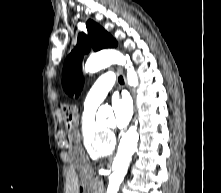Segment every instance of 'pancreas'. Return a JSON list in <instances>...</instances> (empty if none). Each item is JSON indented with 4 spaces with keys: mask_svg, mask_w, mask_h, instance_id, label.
Segmentation results:
<instances>
[{
    "mask_svg": "<svg viewBox=\"0 0 221 193\" xmlns=\"http://www.w3.org/2000/svg\"><path fill=\"white\" fill-rule=\"evenodd\" d=\"M93 192L94 193H101L102 192V187H101V182L98 178H96L94 180V183H93Z\"/></svg>",
    "mask_w": 221,
    "mask_h": 193,
    "instance_id": "cf45deb5",
    "label": "pancreas"
}]
</instances>
